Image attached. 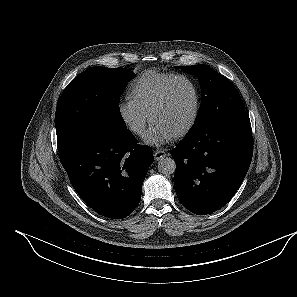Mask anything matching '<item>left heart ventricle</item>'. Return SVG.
I'll return each instance as SVG.
<instances>
[{"instance_id": "left-heart-ventricle-1", "label": "left heart ventricle", "mask_w": 297, "mask_h": 297, "mask_svg": "<svg viewBox=\"0 0 297 297\" xmlns=\"http://www.w3.org/2000/svg\"><path fill=\"white\" fill-rule=\"evenodd\" d=\"M194 103L191 86L185 81H178L171 88L166 103L153 115L152 122L162 125L175 135L191 118Z\"/></svg>"}]
</instances>
